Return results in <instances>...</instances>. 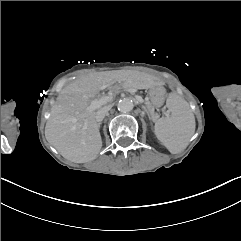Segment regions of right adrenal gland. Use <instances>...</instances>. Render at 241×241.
Segmentation results:
<instances>
[{
	"label": "right adrenal gland",
	"mask_w": 241,
	"mask_h": 241,
	"mask_svg": "<svg viewBox=\"0 0 241 241\" xmlns=\"http://www.w3.org/2000/svg\"><path fill=\"white\" fill-rule=\"evenodd\" d=\"M102 123L100 122V123H98V128H100V125H101Z\"/></svg>",
	"instance_id": "obj_1"
}]
</instances>
